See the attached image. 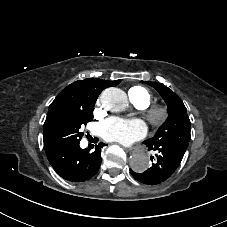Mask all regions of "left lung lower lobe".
<instances>
[{
	"mask_svg": "<svg viewBox=\"0 0 227 227\" xmlns=\"http://www.w3.org/2000/svg\"><path fill=\"white\" fill-rule=\"evenodd\" d=\"M148 150L157 151L156 162L143 173H136L130 169L131 174L138 181L156 185L168 179L179 166L186 148H182L176 144L166 142L144 141ZM153 159V157H151Z\"/></svg>",
	"mask_w": 227,
	"mask_h": 227,
	"instance_id": "1",
	"label": "left lung lower lobe"
}]
</instances>
